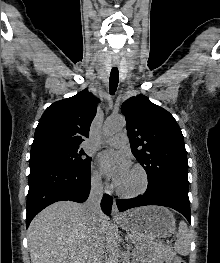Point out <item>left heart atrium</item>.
Listing matches in <instances>:
<instances>
[{
	"instance_id": "1",
	"label": "left heart atrium",
	"mask_w": 220,
	"mask_h": 263,
	"mask_svg": "<svg viewBox=\"0 0 220 263\" xmlns=\"http://www.w3.org/2000/svg\"><path fill=\"white\" fill-rule=\"evenodd\" d=\"M102 171L118 185L131 169L130 161L123 153L106 151L99 156Z\"/></svg>"
}]
</instances>
